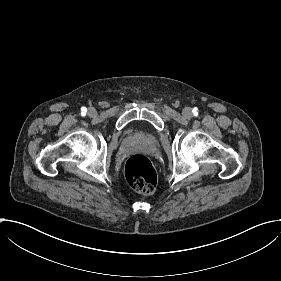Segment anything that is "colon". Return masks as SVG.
I'll use <instances>...</instances> for the list:
<instances>
[{
    "label": "colon",
    "instance_id": "5ec220e1",
    "mask_svg": "<svg viewBox=\"0 0 281 281\" xmlns=\"http://www.w3.org/2000/svg\"><path fill=\"white\" fill-rule=\"evenodd\" d=\"M125 177L138 191L148 192L157 185V174L151 162L142 155H131L125 163Z\"/></svg>",
    "mask_w": 281,
    "mask_h": 281
}]
</instances>
